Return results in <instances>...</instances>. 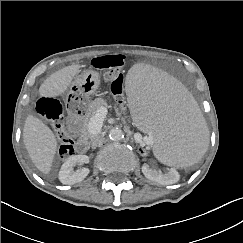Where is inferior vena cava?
<instances>
[{
	"instance_id": "obj_1",
	"label": "inferior vena cava",
	"mask_w": 243,
	"mask_h": 243,
	"mask_svg": "<svg viewBox=\"0 0 243 243\" xmlns=\"http://www.w3.org/2000/svg\"><path fill=\"white\" fill-rule=\"evenodd\" d=\"M99 142H100V137L96 135L95 137L92 138L91 147L96 148Z\"/></svg>"
}]
</instances>
